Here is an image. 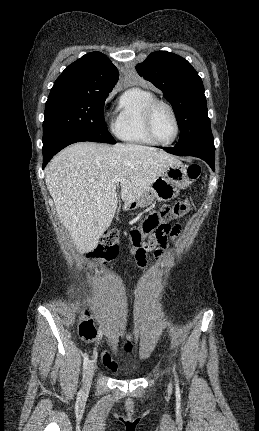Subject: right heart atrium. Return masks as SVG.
<instances>
[{"label": "right heart atrium", "mask_w": 259, "mask_h": 431, "mask_svg": "<svg viewBox=\"0 0 259 431\" xmlns=\"http://www.w3.org/2000/svg\"><path fill=\"white\" fill-rule=\"evenodd\" d=\"M114 93H115V91H112V92L109 93L108 100H110L113 97Z\"/></svg>", "instance_id": "d8ad5b80"}]
</instances>
